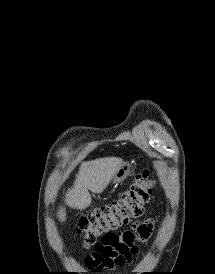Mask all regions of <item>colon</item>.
Masks as SVG:
<instances>
[{
	"label": "colon",
	"mask_w": 215,
	"mask_h": 274,
	"mask_svg": "<svg viewBox=\"0 0 215 274\" xmlns=\"http://www.w3.org/2000/svg\"><path fill=\"white\" fill-rule=\"evenodd\" d=\"M154 187L150 170L138 174L131 187L108 205H104L82 217L78 232L86 247L94 245L99 238L113 230L127 225L144 213Z\"/></svg>",
	"instance_id": "1"
}]
</instances>
